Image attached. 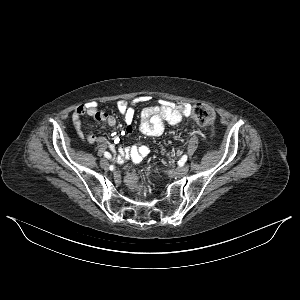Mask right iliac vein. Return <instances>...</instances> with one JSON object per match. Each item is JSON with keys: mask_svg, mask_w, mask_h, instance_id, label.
<instances>
[{"mask_svg": "<svg viewBox=\"0 0 300 300\" xmlns=\"http://www.w3.org/2000/svg\"><path fill=\"white\" fill-rule=\"evenodd\" d=\"M100 165H101L102 168L108 169V167H109V162H108L106 159H101Z\"/></svg>", "mask_w": 300, "mask_h": 300, "instance_id": "obj_1", "label": "right iliac vein"}]
</instances>
